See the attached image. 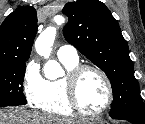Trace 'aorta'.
<instances>
[{"instance_id":"obj_1","label":"aorta","mask_w":145,"mask_h":124,"mask_svg":"<svg viewBox=\"0 0 145 124\" xmlns=\"http://www.w3.org/2000/svg\"><path fill=\"white\" fill-rule=\"evenodd\" d=\"M56 37V28L47 27L36 39V52L45 59H49L52 46ZM44 75L47 79L55 80L64 75V71L60 64L54 60H48L44 66Z\"/></svg>"}]
</instances>
